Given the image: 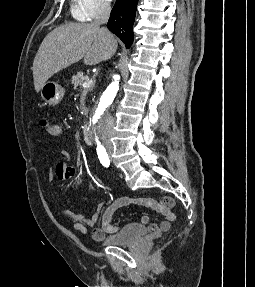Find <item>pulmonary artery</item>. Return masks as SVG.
<instances>
[{"label":"pulmonary artery","instance_id":"pulmonary-artery-1","mask_svg":"<svg viewBox=\"0 0 255 287\" xmlns=\"http://www.w3.org/2000/svg\"><path fill=\"white\" fill-rule=\"evenodd\" d=\"M108 39H114V38H108ZM107 48H109V47H107Z\"/></svg>","mask_w":255,"mask_h":287}]
</instances>
